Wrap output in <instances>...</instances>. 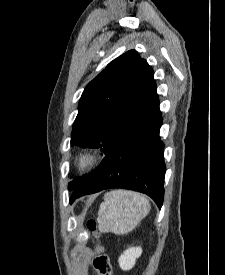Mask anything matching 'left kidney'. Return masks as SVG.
Here are the masks:
<instances>
[{
  "label": "left kidney",
  "instance_id": "5707ae66",
  "mask_svg": "<svg viewBox=\"0 0 225 275\" xmlns=\"http://www.w3.org/2000/svg\"><path fill=\"white\" fill-rule=\"evenodd\" d=\"M142 254L141 247H132L128 248L124 253L119 257V266L122 270L127 271L134 267L136 259L139 258Z\"/></svg>",
  "mask_w": 225,
  "mask_h": 275
}]
</instances>
